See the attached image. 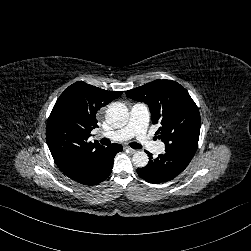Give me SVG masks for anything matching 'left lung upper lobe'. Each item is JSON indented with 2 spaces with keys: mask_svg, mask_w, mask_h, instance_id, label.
Wrapping results in <instances>:
<instances>
[{
  "mask_svg": "<svg viewBox=\"0 0 251 251\" xmlns=\"http://www.w3.org/2000/svg\"><path fill=\"white\" fill-rule=\"evenodd\" d=\"M126 95L145 102L150 109L156 132L165 150H177L194 156L200 134L199 110L188 92L172 80H155L126 91Z\"/></svg>",
  "mask_w": 251,
  "mask_h": 251,
  "instance_id": "left-lung-upper-lobe-1",
  "label": "left lung upper lobe"
}]
</instances>
